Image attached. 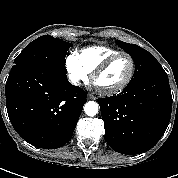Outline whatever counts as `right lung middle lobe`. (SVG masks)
Listing matches in <instances>:
<instances>
[{
  "label": "right lung middle lobe",
  "instance_id": "1",
  "mask_svg": "<svg viewBox=\"0 0 178 178\" xmlns=\"http://www.w3.org/2000/svg\"><path fill=\"white\" fill-rule=\"evenodd\" d=\"M72 44L50 35H43L31 43L14 60L12 69L19 66H47L57 65L63 73L65 68V57Z\"/></svg>",
  "mask_w": 178,
  "mask_h": 178
}]
</instances>
